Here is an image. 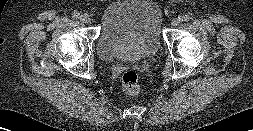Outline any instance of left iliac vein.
Here are the masks:
<instances>
[{"label":"left iliac vein","instance_id":"1","mask_svg":"<svg viewBox=\"0 0 253 131\" xmlns=\"http://www.w3.org/2000/svg\"><path fill=\"white\" fill-rule=\"evenodd\" d=\"M180 23H181V20H180L179 18H175V19L172 20L171 25H172L173 27H176V26H178Z\"/></svg>","mask_w":253,"mask_h":131}]
</instances>
